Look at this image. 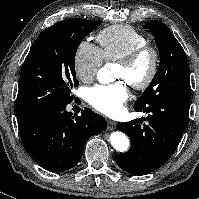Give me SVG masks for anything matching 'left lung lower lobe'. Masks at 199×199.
I'll return each mask as SVG.
<instances>
[{"mask_svg": "<svg viewBox=\"0 0 199 199\" xmlns=\"http://www.w3.org/2000/svg\"><path fill=\"white\" fill-rule=\"evenodd\" d=\"M189 109V103L166 101L143 111L148 114L143 126L137 120L117 123L118 130L127 134L131 141L127 152L115 155L117 165L134 175H145L161 167L180 143Z\"/></svg>", "mask_w": 199, "mask_h": 199, "instance_id": "1", "label": "left lung lower lobe"}]
</instances>
